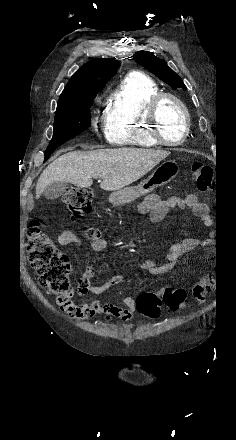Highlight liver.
I'll use <instances>...</instances> for the list:
<instances>
[{
	"label": "liver",
	"mask_w": 236,
	"mask_h": 440,
	"mask_svg": "<svg viewBox=\"0 0 236 440\" xmlns=\"http://www.w3.org/2000/svg\"><path fill=\"white\" fill-rule=\"evenodd\" d=\"M169 154L168 151L139 148L68 152L42 172L36 185V199L54 182L89 187L93 183L92 177L100 176L101 189L121 190L146 175Z\"/></svg>",
	"instance_id": "1"
}]
</instances>
